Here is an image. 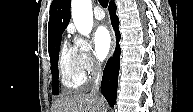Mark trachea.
Here are the masks:
<instances>
[{
    "instance_id": "1",
    "label": "trachea",
    "mask_w": 193,
    "mask_h": 112,
    "mask_svg": "<svg viewBox=\"0 0 193 112\" xmlns=\"http://www.w3.org/2000/svg\"><path fill=\"white\" fill-rule=\"evenodd\" d=\"M99 3L101 4L102 7L106 8L108 5V0H99Z\"/></svg>"
}]
</instances>
